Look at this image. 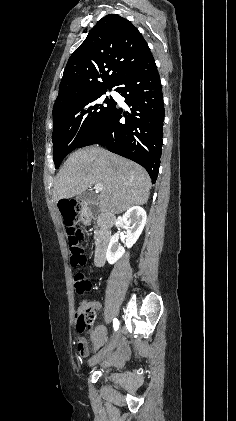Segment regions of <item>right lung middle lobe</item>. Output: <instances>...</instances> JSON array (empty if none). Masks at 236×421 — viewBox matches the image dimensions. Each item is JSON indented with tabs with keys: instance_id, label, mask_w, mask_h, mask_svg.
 <instances>
[{
	"instance_id": "right-lung-middle-lobe-1",
	"label": "right lung middle lobe",
	"mask_w": 236,
	"mask_h": 421,
	"mask_svg": "<svg viewBox=\"0 0 236 421\" xmlns=\"http://www.w3.org/2000/svg\"><path fill=\"white\" fill-rule=\"evenodd\" d=\"M106 91L74 98L53 110V160L56 168L67 154L102 125L116 105L112 97L103 98Z\"/></svg>"
}]
</instances>
